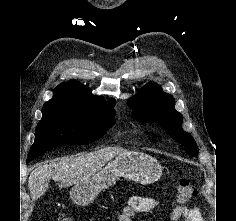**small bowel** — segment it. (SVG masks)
<instances>
[{
	"label": "small bowel",
	"mask_w": 236,
	"mask_h": 221,
	"mask_svg": "<svg viewBox=\"0 0 236 221\" xmlns=\"http://www.w3.org/2000/svg\"><path fill=\"white\" fill-rule=\"evenodd\" d=\"M159 200L151 197L134 196L128 200L127 205L115 213V221H132L138 213L150 212L160 209ZM173 221H203L200 211L196 207L176 206L170 213Z\"/></svg>",
	"instance_id": "obj_1"
}]
</instances>
